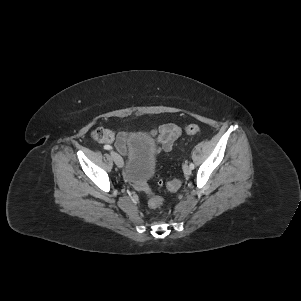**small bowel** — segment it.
I'll return each mask as SVG.
<instances>
[{"label":"small bowel","mask_w":301,"mask_h":301,"mask_svg":"<svg viewBox=\"0 0 301 301\" xmlns=\"http://www.w3.org/2000/svg\"><path fill=\"white\" fill-rule=\"evenodd\" d=\"M152 134L158 143L159 149L168 152L172 150L174 142L180 137L181 129L175 124L166 123L154 129ZM116 147L122 153L126 151V135L124 133L118 135Z\"/></svg>","instance_id":"obj_1"}]
</instances>
